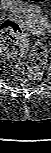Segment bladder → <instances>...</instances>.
<instances>
[{"label": "bladder", "instance_id": "1", "mask_svg": "<svg viewBox=\"0 0 51 153\" xmlns=\"http://www.w3.org/2000/svg\"><path fill=\"white\" fill-rule=\"evenodd\" d=\"M0 5L4 10L8 12L24 15L38 14L40 12V8L35 4H31L29 1L0 0Z\"/></svg>", "mask_w": 51, "mask_h": 153}]
</instances>
